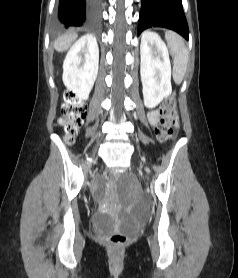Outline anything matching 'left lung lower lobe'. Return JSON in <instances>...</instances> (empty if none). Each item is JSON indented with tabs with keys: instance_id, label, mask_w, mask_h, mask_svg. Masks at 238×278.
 <instances>
[{
	"instance_id": "1",
	"label": "left lung lower lobe",
	"mask_w": 238,
	"mask_h": 278,
	"mask_svg": "<svg viewBox=\"0 0 238 278\" xmlns=\"http://www.w3.org/2000/svg\"><path fill=\"white\" fill-rule=\"evenodd\" d=\"M152 26L165 27L189 39L181 0H142L138 35Z\"/></svg>"
}]
</instances>
